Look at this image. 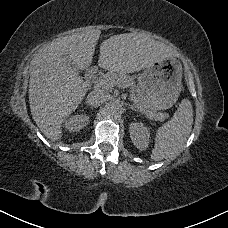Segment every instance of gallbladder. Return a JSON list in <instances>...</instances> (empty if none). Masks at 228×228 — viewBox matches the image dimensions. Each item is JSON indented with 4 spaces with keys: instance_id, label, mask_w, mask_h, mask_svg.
<instances>
[{
    "instance_id": "obj_1",
    "label": "gallbladder",
    "mask_w": 228,
    "mask_h": 228,
    "mask_svg": "<svg viewBox=\"0 0 228 228\" xmlns=\"http://www.w3.org/2000/svg\"><path fill=\"white\" fill-rule=\"evenodd\" d=\"M70 67H71V70L74 72V73H78V69L75 65L73 64H70Z\"/></svg>"
}]
</instances>
